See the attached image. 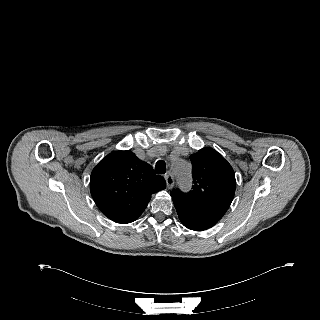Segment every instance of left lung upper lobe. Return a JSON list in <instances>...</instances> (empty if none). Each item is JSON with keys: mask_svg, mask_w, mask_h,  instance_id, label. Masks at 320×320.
Wrapping results in <instances>:
<instances>
[{"mask_svg": "<svg viewBox=\"0 0 320 320\" xmlns=\"http://www.w3.org/2000/svg\"><path fill=\"white\" fill-rule=\"evenodd\" d=\"M193 189L189 193L177 189L173 199L225 214L235 194V173L231 165L213 148L206 147L190 156Z\"/></svg>", "mask_w": 320, "mask_h": 320, "instance_id": "left-lung-upper-lobe-1", "label": "left lung upper lobe"}]
</instances>
